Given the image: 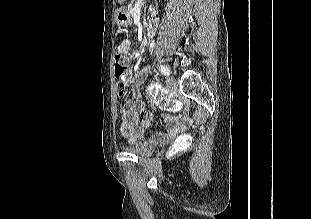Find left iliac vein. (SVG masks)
I'll use <instances>...</instances> for the list:
<instances>
[{
    "mask_svg": "<svg viewBox=\"0 0 311 219\" xmlns=\"http://www.w3.org/2000/svg\"><path fill=\"white\" fill-rule=\"evenodd\" d=\"M167 88L170 92L174 91L177 87V82L173 76H168L166 80Z\"/></svg>",
    "mask_w": 311,
    "mask_h": 219,
    "instance_id": "4c4485c4",
    "label": "left iliac vein"
}]
</instances>
